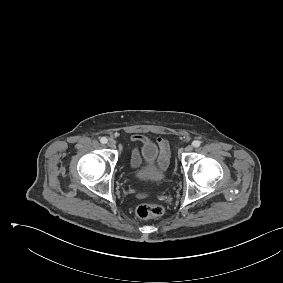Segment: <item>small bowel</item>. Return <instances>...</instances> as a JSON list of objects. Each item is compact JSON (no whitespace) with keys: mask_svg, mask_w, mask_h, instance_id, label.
<instances>
[{"mask_svg":"<svg viewBox=\"0 0 283 283\" xmlns=\"http://www.w3.org/2000/svg\"><path fill=\"white\" fill-rule=\"evenodd\" d=\"M148 141L145 137H137L135 139V148L132 153L131 164L134 168L141 163L140 144ZM158 155H157V174H162L166 170L170 162V150L168 142L163 138L157 139Z\"/></svg>","mask_w":283,"mask_h":283,"instance_id":"c3829d8e","label":"small bowel"}]
</instances>
